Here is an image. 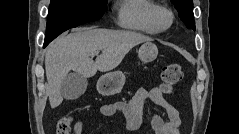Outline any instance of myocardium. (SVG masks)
Segmentation results:
<instances>
[{"label":"myocardium","mask_w":239,"mask_h":134,"mask_svg":"<svg viewBox=\"0 0 239 134\" xmlns=\"http://www.w3.org/2000/svg\"><path fill=\"white\" fill-rule=\"evenodd\" d=\"M163 18H166L165 23L162 22ZM151 21L158 32H164L172 26L173 14L167 7L158 5L151 13Z\"/></svg>","instance_id":"myocardium-1"}]
</instances>
